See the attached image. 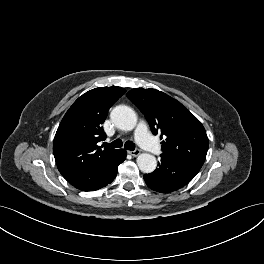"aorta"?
I'll return each mask as SVG.
<instances>
[{
	"mask_svg": "<svg viewBox=\"0 0 264 264\" xmlns=\"http://www.w3.org/2000/svg\"><path fill=\"white\" fill-rule=\"evenodd\" d=\"M111 119L115 125L125 131L134 129L137 124V116L134 110L125 105L116 106L111 112ZM137 165L144 173H151L156 169V158L148 153H142L137 157Z\"/></svg>",
	"mask_w": 264,
	"mask_h": 264,
	"instance_id": "1",
	"label": "aorta"
}]
</instances>
